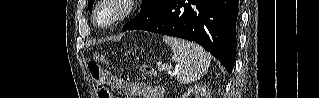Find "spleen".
Listing matches in <instances>:
<instances>
[{
	"label": "spleen",
	"mask_w": 319,
	"mask_h": 98,
	"mask_svg": "<svg viewBox=\"0 0 319 98\" xmlns=\"http://www.w3.org/2000/svg\"><path fill=\"white\" fill-rule=\"evenodd\" d=\"M163 41L172 49V59L176 62L175 69L180 83L195 82L207 72L211 56L201 46L168 36H164Z\"/></svg>",
	"instance_id": "3e777b00"
}]
</instances>
